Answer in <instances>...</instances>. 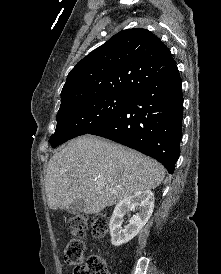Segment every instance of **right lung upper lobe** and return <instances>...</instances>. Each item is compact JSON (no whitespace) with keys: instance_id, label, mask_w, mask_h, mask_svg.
Wrapping results in <instances>:
<instances>
[{"instance_id":"obj_1","label":"right lung upper lobe","mask_w":221,"mask_h":274,"mask_svg":"<svg viewBox=\"0 0 221 274\" xmlns=\"http://www.w3.org/2000/svg\"><path fill=\"white\" fill-rule=\"evenodd\" d=\"M175 66L170 50L152 32L123 30L70 71L61 103L101 95L133 96Z\"/></svg>"}]
</instances>
